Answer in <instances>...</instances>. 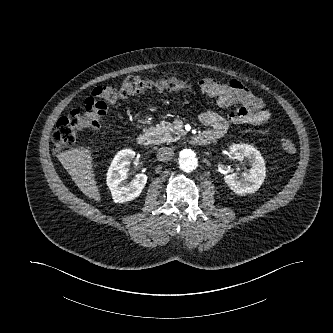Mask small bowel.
<instances>
[{"label": "small bowel", "mask_w": 333, "mask_h": 333, "mask_svg": "<svg viewBox=\"0 0 333 333\" xmlns=\"http://www.w3.org/2000/svg\"><path fill=\"white\" fill-rule=\"evenodd\" d=\"M198 86L201 92L215 98L220 107L238 105L227 117L213 110L201 113L200 121L209 127L207 132L213 138L221 137L229 123L259 125L270 118L263 101L237 80L222 83L212 77H204L199 80Z\"/></svg>", "instance_id": "c3829d8e"}]
</instances>
